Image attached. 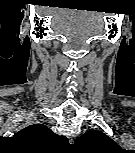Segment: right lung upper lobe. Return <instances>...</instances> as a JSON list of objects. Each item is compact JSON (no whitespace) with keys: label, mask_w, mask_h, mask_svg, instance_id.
<instances>
[{"label":"right lung upper lobe","mask_w":135,"mask_h":153,"mask_svg":"<svg viewBox=\"0 0 135 153\" xmlns=\"http://www.w3.org/2000/svg\"><path fill=\"white\" fill-rule=\"evenodd\" d=\"M15 137L36 147H46L58 142H67L64 136H58L43 124H33L15 134Z\"/></svg>","instance_id":"right-lung-upper-lobe-1"}]
</instances>
